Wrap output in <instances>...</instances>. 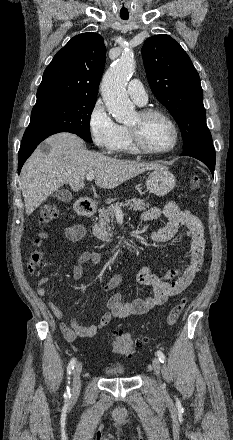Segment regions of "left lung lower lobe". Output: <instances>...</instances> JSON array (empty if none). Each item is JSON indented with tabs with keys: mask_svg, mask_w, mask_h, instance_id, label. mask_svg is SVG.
<instances>
[{
	"mask_svg": "<svg viewBox=\"0 0 233 440\" xmlns=\"http://www.w3.org/2000/svg\"><path fill=\"white\" fill-rule=\"evenodd\" d=\"M181 156H190L202 161L214 174L216 154L212 142L186 149Z\"/></svg>",
	"mask_w": 233,
	"mask_h": 440,
	"instance_id": "left-lung-lower-lobe-1",
	"label": "left lung lower lobe"
}]
</instances>
